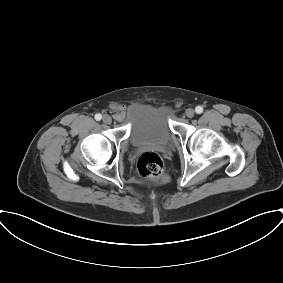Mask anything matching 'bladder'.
<instances>
[{"label": "bladder", "mask_w": 283, "mask_h": 283, "mask_svg": "<svg viewBox=\"0 0 283 283\" xmlns=\"http://www.w3.org/2000/svg\"><path fill=\"white\" fill-rule=\"evenodd\" d=\"M173 110L166 104L137 103L128 112L129 138L134 146L168 144L173 136Z\"/></svg>", "instance_id": "31cf9c89"}]
</instances>
